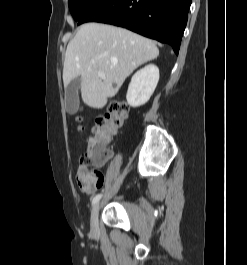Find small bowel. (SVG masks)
Returning <instances> with one entry per match:
<instances>
[{"mask_svg": "<svg viewBox=\"0 0 247 265\" xmlns=\"http://www.w3.org/2000/svg\"><path fill=\"white\" fill-rule=\"evenodd\" d=\"M76 182L82 192L86 194H92L97 191L103 185V176H94L88 174L82 166H80L75 175Z\"/></svg>", "mask_w": 247, "mask_h": 265, "instance_id": "1", "label": "small bowel"}]
</instances>
